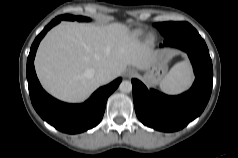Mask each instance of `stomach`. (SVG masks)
<instances>
[{
    "label": "stomach",
    "mask_w": 238,
    "mask_h": 158,
    "mask_svg": "<svg viewBox=\"0 0 238 158\" xmlns=\"http://www.w3.org/2000/svg\"><path fill=\"white\" fill-rule=\"evenodd\" d=\"M172 53L162 51L155 54L151 62L143 69V81L148 85H157L167 73L168 63L172 59Z\"/></svg>",
    "instance_id": "obj_1"
}]
</instances>
